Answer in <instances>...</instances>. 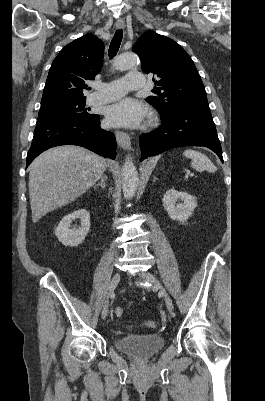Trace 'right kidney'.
Masks as SVG:
<instances>
[{
    "mask_svg": "<svg viewBox=\"0 0 265 401\" xmlns=\"http://www.w3.org/2000/svg\"><path fill=\"white\" fill-rule=\"evenodd\" d=\"M80 219L81 227L79 229H70L72 221ZM90 231V215L85 209H78L70 215L63 217L58 227H56V237H58L60 243L63 245H70V247H77L82 241H84L86 235Z\"/></svg>",
    "mask_w": 265,
    "mask_h": 401,
    "instance_id": "obj_1",
    "label": "right kidney"
}]
</instances>
